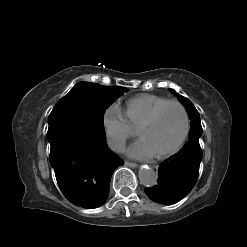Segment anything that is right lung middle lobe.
<instances>
[{"label": "right lung middle lobe", "instance_id": "dd1d6c3e", "mask_svg": "<svg viewBox=\"0 0 247 247\" xmlns=\"http://www.w3.org/2000/svg\"><path fill=\"white\" fill-rule=\"evenodd\" d=\"M126 90L119 86H102L79 82L54 106L48 123L76 121L90 127L105 138L103 116L105 110Z\"/></svg>", "mask_w": 247, "mask_h": 247}]
</instances>
